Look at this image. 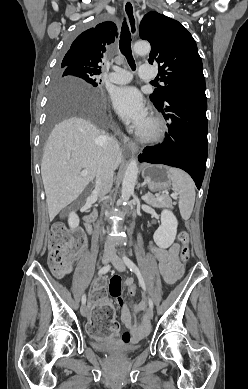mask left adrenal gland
<instances>
[{
    "instance_id": "a2214340",
    "label": "left adrenal gland",
    "mask_w": 248,
    "mask_h": 389,
    "mask_svg": "<svg viewBox=\"0 0 248 389\" xmlns=\"http://www.w3.org/2000/svg\"><path fill=\"white\" fill-rule=\"evenodd\" d=\"M142 187H143V184H141V191H140V194H142Z\"/></svg>"
}]
</instances>
